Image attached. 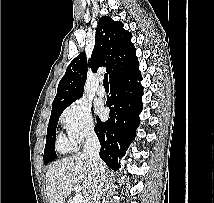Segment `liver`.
I'll list each match as a JSON object with an SVG mask.
<instances>
[{
	"label": "liver",
	"instance_id": "6515ba94",
	"mask_svg": "<svg viewBox=\"0 0 214 203\" xmlns=\"http://www.w3.org/2000/svg\"><path fill=\"white\" fill-rule=\"evenodd\" d=\"M81 187L83 203L90 195V166L82 153L55 162L46 173V190L49 203H65L73 186Z\"/></svg>",
	"mask_w": 214,
	"mask_h": 203
}]
</instances>
